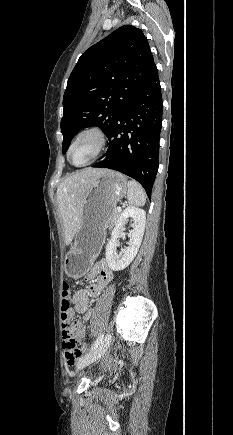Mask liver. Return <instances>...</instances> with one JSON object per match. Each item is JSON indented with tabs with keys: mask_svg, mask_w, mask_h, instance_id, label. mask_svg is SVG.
I'll list each match as a JSON object with an SVG mask.
<instances>
[{
	"mask_svg": "<svg viewBox=\"0 0 233 435\" xmlns=\"http://www.w3.org/2000/svg\"><path fill=\"white\" fill-rule=\"evenodd\" d=\"M107 169L85 168L67 176L57 189V202L63 222L65 244L69 245L81 224L82 210L95 180Z\"/></svg>",
	"mask_w": 233,
	"mask_h": 435,
	"instance_id": "6515ba94",
	"label": "liver"
}]
</instances>
